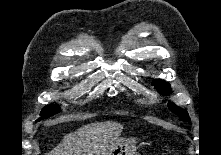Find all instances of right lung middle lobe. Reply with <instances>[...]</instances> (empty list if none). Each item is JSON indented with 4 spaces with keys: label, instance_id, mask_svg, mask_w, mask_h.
Instances as JSON below:
<instances>
[{
    "label": "right lung middle lobe",
    "instance_id": "obj_1",
    "mask_svg": "<svg viewBox=\"0 0 221 155\" xmlns=\"http://www.w3.org/2000/svg\"><path fill=\"white\" fill-rule=\"evenodd\" d=\"M59 112V106L58 105H48L46 107L43 108L42 112L40 113L41 118H39L37 121H40L42 119L48 118L52 115H54L55 113Z\"/></svg>",
    "mask_w": 221,
    "mask_h": 155
}]
</instances>
